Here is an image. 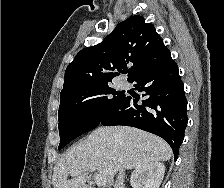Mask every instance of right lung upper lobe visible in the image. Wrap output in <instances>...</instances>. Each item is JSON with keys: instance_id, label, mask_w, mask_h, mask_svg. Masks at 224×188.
<instances>
[{"instance_id": "1", "label": "right lung upper lobe", "mask_w": 224, "mask_h": 188, "mask_svg": "<svg viewBox=\"0 0 224 188\" xmlns=\"http://www.w3.org/2000/svg\"><path fill=\"white\" fill-rule=\"evenodd\" d=\"M169 53L154 25L142 16H132L119 23L101 43L76 55L66 68L61 93L109 84L127 65H132L128 74L131 80Z\"/></svg>"}]
</instances>
